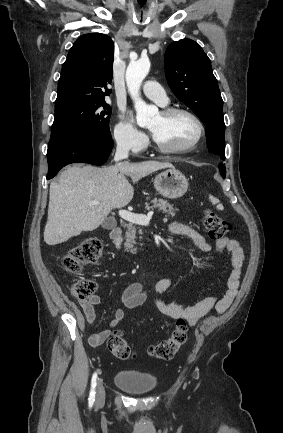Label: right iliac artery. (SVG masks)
Returning <instances> with one entry per match:
<instances>
[{
    "instance_id": "1",
    "label": "right iliac artery",
    "mask_w": 283,
    "mask_h": 433,
    "mask_svg": "<svg viewBox=\"0 0 283 433\" xmlns=\"http://www.w3.org/2000/svg\"><path fill=\"white\" fill-rule=\"evenodd\" d=\"M96 381H97V373L95 372L92 376L91 380V390L88 398L89 407L91 408L93 406V403L95 401V387H96Z\"/></svg>"
}]
</instances>
